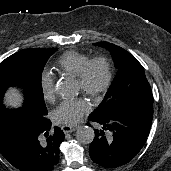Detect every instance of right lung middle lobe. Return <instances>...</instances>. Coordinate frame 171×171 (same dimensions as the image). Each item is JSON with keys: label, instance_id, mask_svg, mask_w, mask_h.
Returning a JSON list of instances; mask_svg holds the SVG:
<instances>
[{"label": "right lung middle lobe", "instance_id": "right-lung-middle-lobe-1", "mask_svg": "<svg viewBox=\"0 0 171 171\" xmlns=\"http://www.w3.org/2000/svg\"><path fill=\"white\" fill-rule=\"evenodd\" d=\"M57 48H32L21 50L0 64V153H7L29 130L45 120L47 108L44 103L41 77L44 66ZM11 85L25 89L22 108L6 109L2 99Z\"/></svg>", "mask_w": 171, "mask_h": 171}]
</instances>
